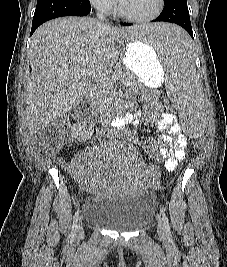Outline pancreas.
I'll use <instances>...</instances> for the list:
<instances>
[{"mask_svg":"<svg viewBox=\"0 0 227 267\" xmlns=\"http://www.w3.org/2000/svg\"><path fill=\"white\" fill-rule=\"evenodd\" d=\"M113 75H116L118 77L117 80L120 79L130 89L136 90L142 87L140 81L133 75L121 71H118ZM115 82L116 81H110L107 85L99 84L93 101V106L97 111L110 109L116 101L117 95L114 89Z\"/></svg>","mask_w":227,"mask_h":267,"instance_id":"cf45deb5","label":"pancreas"}]
</instances>
